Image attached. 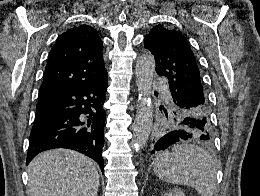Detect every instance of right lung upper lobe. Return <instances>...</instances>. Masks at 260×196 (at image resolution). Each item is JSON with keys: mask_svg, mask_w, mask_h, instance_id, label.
I'll return each mask as SVG.
<instances>
[{"mask_svg": "<svg viewBox=\"0 0 260 196\" xmlns=\"http://www.w3.org/2000/svg\"><path fill=\"white\" fill-rule=\"evenodd\" d=\"M103 42L88 25L61 34L49 55L38 101H44L71 88L107 77Z\"/></svg>", "mask_w": 260, "mask_h": 196, "instance_id": "1", "label": "right lung upper lobe"}]
</instances>
